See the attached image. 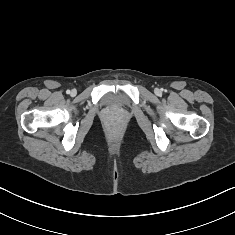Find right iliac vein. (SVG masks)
<instances>
[{"label": "right iliac vein", "instance_id": "63e3f726", "mask_svg": "<svg viewBox=\"0 0 235 235\" xmlns=\"http://www.w3.org/2000/svg\"><path fill=\"white\" fill-rule=\"evenodd\" d=\"M76 93H77V91H76L75 89H73V90L71 91V95H72V96H75Z\"/></svg>", "mask_w": 235, "mask_h": 235}]
</instances>
